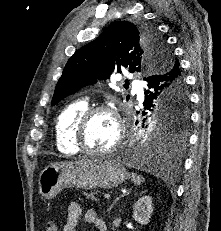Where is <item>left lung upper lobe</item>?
<instances>
[{
  "label": "left lung upper lobe",
  "mask_w": 221,
  "mask_h": 231,
  "mask_svg": "<svg viewBox=\"0 0 221 231\" xmlns=\"http://www.w3.org/2000/svg\"><path fill=\"white\" fill-rule=\"evenodd\" d=\"M170 56L164 38L154 26L117 21L70 57L56 85L52 105L87 84L109 78L114 69L119 73L128 68L130 72H147L155 65L162 72L166 67L171 68ZM172 91L169 99H176L175 105L164 108L162 97L143 103L154 124L147 137L160 136L172 142L186 139L188 96L185 89Z\"/></svg>",
  "instance_id": "5c2ea615"
}]
</instances>
